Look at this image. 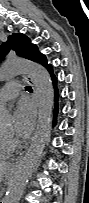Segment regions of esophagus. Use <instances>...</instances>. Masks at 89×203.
<instances>
[{
  "instance_id": "obj_1",
  "label": "esophagus",
  "mask_w": 89,
  "mask_h": 203,
  "mask_svg": "<svg viewBox=\"0 0 89 203\" xmlns=\"http://www.w3.org/2000/svg\"><path fill=\"white\" fill-rule=\"evenodd\" d=\"M25 78L31 83L33 88V98L35 100L36 106H38V90L36 88V85L34 84L32 78L29 75H26ZM36 120H37V113H36Z\"/></svg>"
}]
</instances>
